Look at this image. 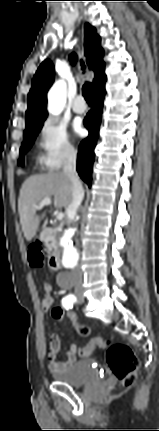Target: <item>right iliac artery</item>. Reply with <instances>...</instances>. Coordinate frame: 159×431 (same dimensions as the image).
Returning a JSON list of instances; mask_svg holds the SVG:
<instances>
[{"label": "right iliac artery", "instance_id": "1", "mask_svg": "<svg viewBox=\"0 0 159 431\" xmlns=\"http://www.w3.org/2000/svg\"><path fill=\"white\" fill-rule=\"evenodd\" d=\"M77 301L76 297L72 294L64 297L62 299V305L66 308V309H70L73 307L74 303Z\"/></svg>", "mask_w": 159, "mask_h": 431}]
</instances>
